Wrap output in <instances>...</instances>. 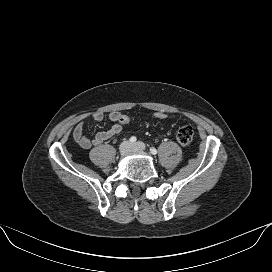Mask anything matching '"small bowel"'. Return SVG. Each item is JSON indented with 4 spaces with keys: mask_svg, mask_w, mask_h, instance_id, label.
Here are the masks:
<instances>
[{
    "mask_svg": "<svg viewBox=\"0 0 272 272\" xmlns=\"http://www.w3.org/2000/svg\"><path fill=\"white\" fill-rule=\"evenodd\" d=\"M120 112L113 111L109 114V119L114 124L106 131H100L96 133L93 138H89L84 134V128L90 121L100 122L104 119L105 115L101 111H96L89 116L85 121H80L73 129L74 141L83 149H90L94 146H98L111 139L115 135L122 131V125L118 122V115Z\"/></svg>",
    "mask_w": 272,
    "mask_h": 272,
    "instance_id": "1",
    "label": "small bowel"
}]
</instances>
